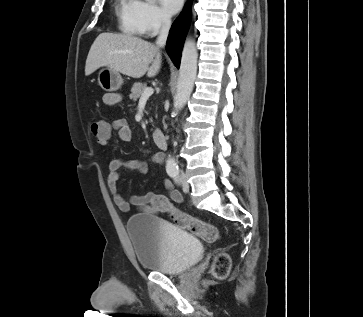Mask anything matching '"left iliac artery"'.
I'll return each mask as SVG.
<instances>
[{
	"instance_id": "obj_1",
	"label": "left iliac artery",
	"mask_w": 363,
	"mask_h": 317,
	"mask_svg": "<svg viewBox=\"0 0 363 317\" xmlns=\"http://www.w3.org/2000/svg\"><path fill=\"white\" fill-rule=\"evenodd\" d=\"M171 177L174 178L176 183H179V176H178V172H176L175 174H173Z\"/></svg>"
}]
</instances>
